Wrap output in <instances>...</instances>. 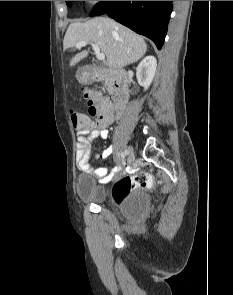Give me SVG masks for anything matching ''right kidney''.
<instances>
[{
	"mask_svg": "<svg viewBox=\"0 0 233 295\" xmlns=\"http://www.w3.org/2000/svg\"><path fill=\"white\" fill-rule=\"evenodd\" d=\"M157 60L154 56L145 57L137 66L136 77L139 85L147 90L155 76Z\"/></svg>",
	"mask_w": 233,
	"mask_h": 295,
	"instance_id": "1",
	"label": "right kidney"
}]
</instances>
